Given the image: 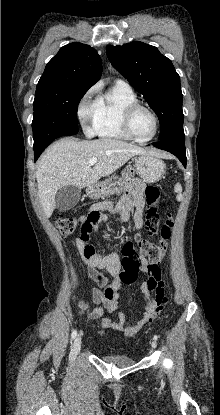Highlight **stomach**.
<instances>
[{
  "label": "stomach",
  "instance_id": "0dacf381",
  "mask_svg": "<svg viewBox=\"0 0 220 415\" xmlns=\"http://www.w3.org/2000/svg\"><path fill=\"white\" fill-rule=\"evenodd\" d=\"M136 173L148 183L158 181L165 173L164 162L153 155H140L135 159ZM126 176L113 175L107 179L96 182L89 186L86 193L91 198H103L120 194L125 189Z\"/></svg>",
  "mask_w": 220,
  "mask_h": 415
}]
</instances>
